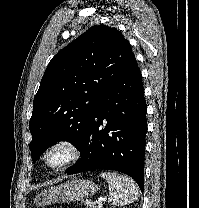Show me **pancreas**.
<instances>
[{
	"instance_id": "obj_1",
	"label": "pancreas",
	"mask_w": 199,
	"mask_h": 208,
	"mask_svg": "<svg viewBox=\"0 0 199 208\" xmlns=\"http://www.w3.org/2000/svg\"><path fill=\"white\" fill-rule=\"evenodd\" d=\"M88 205L90 208H102L100 205H97V203L93 201L92 202L90 201Z\"/></svg>"
}]
</instances>
